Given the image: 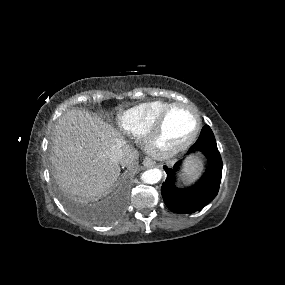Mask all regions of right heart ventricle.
I'll list each match as a JSON object with an SVG mask.
<instances>
[{
  "label": "right heart ventricle",
  "instance_id": "obj_1",
  "mask_svg": "<svg viewBox=\"0 0 285 285\" xmlns=\"http://www.w3.org/2000/svg\"><path fill=\"white\" fill-rule=\"evenodd\" d=\"M171 104L173 103L164 100H154L135 105L119 115L118 127L127 135L142 138Z\"/></svg>",
  "mask_w": 285,
  "mask_h": 285
}]
</instances>
